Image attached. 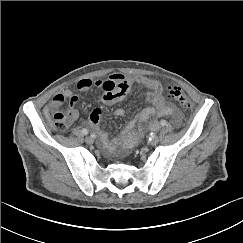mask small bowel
I'll list each match as a JSON object with an SVG mask.
<instances>
[{
	"instance_id": "obj_1",
	"label": "small bowel",
	"mask_w": 243,
	"mask_h": 243,
	"mask_svg": "<svg viewBox=\"0 0 243 243\" xmlns=\"http://www.w3.org/2000/svg\"><path fill=\"white\" fill-rule=\"evenodd\" d=\"M133 84L142 85L147 89L146 101L149 103V106L142 109L133 119L128 121L113 141L109 140L107 134L100 127L101 109L94 107L89 113L88 121L99 136L103 147L107 150L113 151L120 144L134 145L143 137L146 129L156 130L158 128L157 122L149 121L152 117L171 116L175 120L180 118V112L174 106L166 103L162 95L161 84L150 77H126L120 73H114L107 79H98L95 81L81 79L77 82L76 88L81 92H86L92 87L100 88L103 90L102 102L106 105H113L125 98ZM66 100L69 105L66 116L70 125L78 118V112L75 106L79 102V97L70 90L56 94L51 103L46 107L45 112L51 113L57 107H61ZM124 114L125 111L121 108L115 110V115L118 117H122ZM136 122H139L140 126L137 130L132 131Z\"/></svg>"
}]
</instances>
